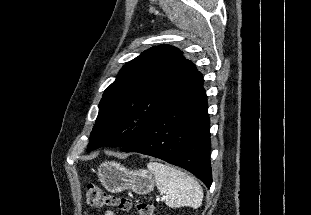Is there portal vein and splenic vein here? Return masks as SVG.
<instances>
[{
	"label": "portal vein and splenic vein",
	"mask_w": 311,
	"mask_h": 215,
	"mask_svg": "<svg viewBox=\"0 0 311 215\" xmlns=\"http://www.w3.org/2000/svg\"><path fill=\"white\" fill-rule=\"evenodd\" d=\"M166 197L165 196H163V197H161V198H157V201H159V200H164Z\"/></svg>",
	"instance_id": "portal-vein-and-splenic-vein-1"
}]
</instances>
